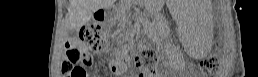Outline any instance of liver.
Instances as JSON below:
<instances>
[{
  "label": "liver",
  "instance_id": "6515ba94",
  "mask_svg": "<svg viewBox=\"0 0 258 77\" xmlns=\"http://www.w3.org/2000/svg\"><path fill=\"white\" fill-rule=\"evenodd\" d=\"M113 2V0H70L69 27L80 28L91 19L94 12Z\"/></svg>",
  "mask_w": 258,
  "mask_h": 77
}]
</instances>
